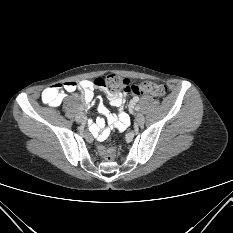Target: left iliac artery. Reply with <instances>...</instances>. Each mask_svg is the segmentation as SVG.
Instances as JSON below:
<instances>
[{
	"label": "left iliac artery",
	"instance_id": "44dca946",
	"mask_svg": "<svg viewBox=\"0 0 233 233\" xmlns=\"http://www.w3.org/2000/svg\"><path fill=\"white\" fill-rule=\"evenodd\" d=\"M133 99H134L135 102H138V101H139V98H138V97H134ZM135 110H136V111H139V110H140V107L136 106V107H135Z\"/></svg>",
	"mask_w": 233,
	"mask_h": 233
}]
</instances>
